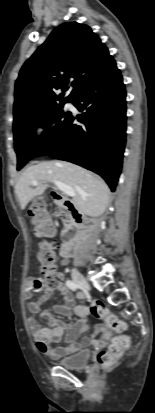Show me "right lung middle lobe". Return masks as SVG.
Instances as JSON below:
<instances>
[{"mask_svg":"<svg viewBox=\"0 0 155 413\" xmlns=\"http://www.w3.org/2000/svg\"><path fill=\"white\" fill-rule=\"evenodd\" d=\"M70 116L71 113L65 112L62 104L13 124L17 170L29 160L40 156L55 141L66 127ZM38 126L44 128L41 136H36L35 133Z\"/></svg>","mask_w":155,"mask_h":413,"instance_id":"1","label":"right lung middle lobe"}]
</instances>
